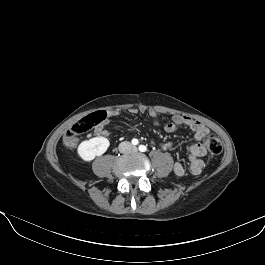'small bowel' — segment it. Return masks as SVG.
<instances>
[{
    "mask_svg": "<svg viewBox=\"0 0 265 265\" xmlns=\"http://www.w3.org/2000/svg\"><path fill=\"white\" fill-rule=\"evenodd\" d=\"M132 114H136L138 112H146V108L141 106L139 109L133 108L130 109ZM119 114L118 110H111L106 113L105 119L96 126L95 133L99 136L108 138L110 137V131L106 128L109 123V118L117 116ZM148 114L150 118L154 121L155 124H159L157 119V113L154 110H149ZM185 126L189 128L194 133V142L188 148V158L189 171L198 175L201 173L204 167L203 158L206 155V149L201 141L209 134L210 130L200 121L194 120L186 115H175L171 118L170 121L165 123L164 128L167 132H174L179 127ZM163 148H171V142H165L162 144ZM174 173L177 176H183L185 174V166L181 162H175L173 167Z\"/></svg>",
    "mask_w": 265,
    "mask_h": 265,
    "instance_id": "c3829d8e",
    "label": "small bowel"
}]
</instances>
